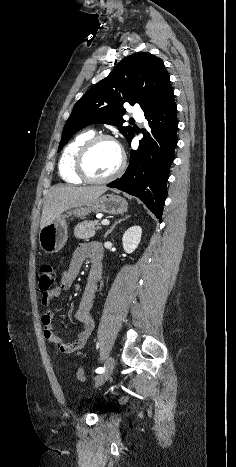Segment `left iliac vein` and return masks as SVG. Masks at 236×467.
<instances>
[{"mask_svg":"<svg viewBox=\"0 0 236 467\" xmlns=\"http://www.w3.org/2000/svg\"><path fill=\"white\" fill-rule=\"evenodd\" d=\"M114 364V358L112 356H109L105 362L104 372H102L95 378L96 388L103 385L109 379L114 370Z\"/></svg>","mask_w":236,"mask_h":467,"instance_id":"1","label":"left iliac vein"}]
</instances>
